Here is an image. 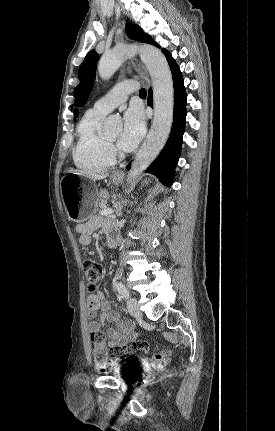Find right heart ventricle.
<instances>
[{"mask_svg": "<svg viewBox=\"0 0 275 431\" xmlns=\"http://www.w3.org/2000/svg\"><path fill=\"white\" fill-rule=\"evenodd\" d=\"M105 113L88 110L77 127V143L73 151L75 165L85 171L101 172L115 163L101 131Z\"/></svg>", "mask_w": 275, "mask_h": 431, "instance_id": "obj_1", "label": "right heart ventricle"}]
</instances>
